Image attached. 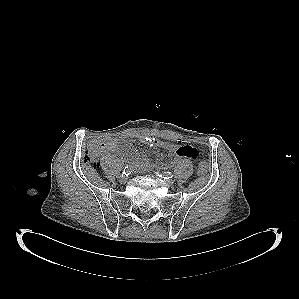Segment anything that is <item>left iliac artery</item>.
<instances>
[{"instance_id": "obj_1", "label": "left iliac artery", "mask_w": 299, "mask_h": 299, "mask_svg": "<svg viewBox=\"0 0 299 299\" xmlns=\"http://www.w3.org/2000/svg\"><path fill=\"white\" fill-rule=\"evenodd\" d=\"M159 177H163L164 179H170L173 177V175L171 172H165V173L159 175Z\"/></svg>"}]
</instances>
